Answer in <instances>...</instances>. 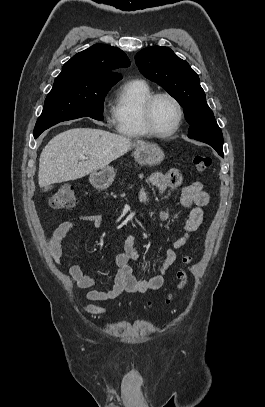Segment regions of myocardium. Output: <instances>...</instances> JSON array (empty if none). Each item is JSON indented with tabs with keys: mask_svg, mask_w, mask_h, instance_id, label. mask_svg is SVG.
Returning a JSON list of instances; mask_svg holds the SVG:
<instances>
[{
	"mask_svg": "<svg viewBox=\"0 0 265 407\" xmlns=\"http://www.w3.org/2000/svg\"><path fill=\"white\" fill-rule=\"evenodd\" d=\"M162 97L168 98L171 101H173V103L176 105V107L178 109L177 122L173 126V128H171L168 131L158 130L153 123L152 112H153L154 104L159 98H162ZM183 119H184V107H183L182 103L176 96H174L173 94H171L169 92L153 93L145 101V103L142 107V120H143L144 126L147 129V131L150 133V135L155 136V137L166 138V137H170V136L174 135L180 129Z\"/></svg>",
	"mask_w": 265,
	"mask_h": 407,
	"instance_id": "f54148a6",
	"label": "myocardium"
}]
</instances>
